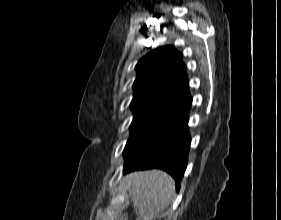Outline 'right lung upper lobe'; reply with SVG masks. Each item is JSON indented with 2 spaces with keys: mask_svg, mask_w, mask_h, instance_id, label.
Segmentation results:
<instances>
[{
  "mask_svg": "<svg viewBox=\"0 0 281 220\" xmlns=\"http://www.w3.org/2000/svg\"><path fill=\"white\" fill-rule=\"evenodd\" d=\"M136 70L130 105L134 118L172 119L191 104L182 55L174 47L163 46L148 53Z\"/></svg>",
  "mask_w": 281,
  "mask_h": 220,
  "instance_id": "obj_1",
  "label": "right lung upper lobe"
}]
</instances>
